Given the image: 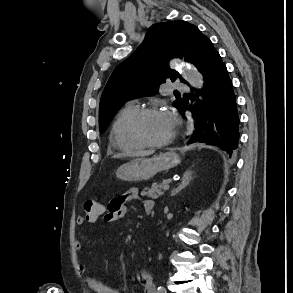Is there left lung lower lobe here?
Returning a JSON list of instances; mask_svg holds the SVG:
<instances>
[{
	"label": "left lung lower lobe",
	"mask_w": 293,
	"mask_h": 293,
	"mask_svg": "<svg viewBox=\"0 0 293 293\" xmlns=\"http://www.w3.org/2000/svg\"><path fill=\"white\" fill-rule=\"evenodd\" d=\"M198 70L203 76L202 89L184 95L178 106L181 113L189 110L194 120L188 144L204 142L232 154L239 140L236 98L227 68L210 40Z\"/></svg>",
	"instance_id": "left-lung-lower-lobe-1"
}]
</instances>
